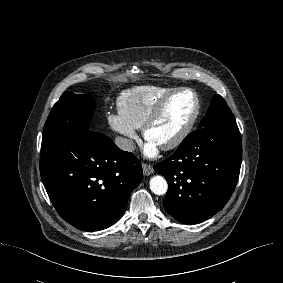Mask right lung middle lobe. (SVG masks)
Segmentation results:
<instances>
[{
    "label": "right lung middle lobe",
    "mask_w": 283,
    "mask_h": 283,
    "mask_svg": "<svg viewBox=\"0 0 283 283\" xmlns=\"http://www.w3.org/2000/svg\"><path fill=\"white\" fill-rule=\"evenodd\" d=\"M94 99L86 94L64 92L54 104L44 126L41 157L57 152L79 131L88 129Z\"/></svg>",
    "instance_id": "dd1d6c3e"
}]
</instances>
